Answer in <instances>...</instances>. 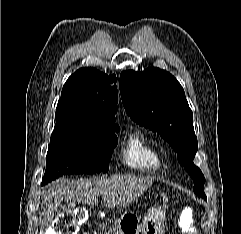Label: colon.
<instances>
[{
  "label": "colon",
  "instance_id": "obj_1",
  "mask_svg": "<svg viewBox=\"0 0 241 234\" xmlns=\"http://www.w3.org/2000/svg\"><path fill=\"white\" fill-rule=\"evenodd\" d=\"M88 215V211L85 208H76L62 212L55 218L47 234H78L80 225L87 220ZM178 224L182 234H198L191 210L181 213Z\"/></svg>",
  "mask_w": 241,
  "mask_h": 234
}]
</instances>
